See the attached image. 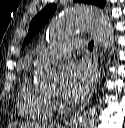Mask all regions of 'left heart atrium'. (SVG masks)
Segmentation results:
<instances>
[{"label": "left heart atrium", "instance_id": "39dd6f15", "mask_svg": "<svg viewBox=\"0 0 125 128\" xmlns=\"http://www.w3.org/2000/svg\"><path fill=\"white\" fill-rule=\"evenodd\" d=\"M93 80V70L88 63H70L61 71L60 96L69 103H75L90 91Z\"/></svg>", "mask_w": 125, "mask_h": 128}]
</instances>
